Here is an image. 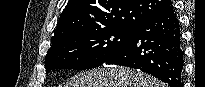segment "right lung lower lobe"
<instances>
[{
	"instance_id": "1",
	"label": "right lung lower lobe",
	"mask_w": 205,
	"mask_h": 87,
	"mask_svg": "<svg viewBox=\"0 0 205 87\" xmlns=\"http://www.w3.org/2000/svg\"><path fill=\"white\" fill-rule=\"evenodd\" d=\"M103 64L140 69L169 87H182L184 54L173 6L137 26L126 44Z\"/></svg>"
}]
</instances>
